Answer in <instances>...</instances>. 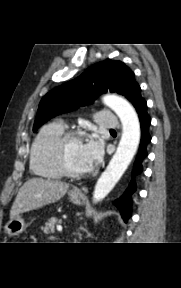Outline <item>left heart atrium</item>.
<instances>
[{
  "mask_svg": "<svg viewBox=\"0 0 181 288\" xmlns=\"http://www.w3.org/2000/svg\"><path fill=\"white\" fill-rule=\"evenodd\" d=\"M83 152L87 163L91 166L98 161L102 155V146L96 139H90L83 145Z\"/></svg>",
  "mask_w": 181,
  "mask_h": 288,
  "instance_id": "1",
  "label": "left heart atrium"
}]
</instances>
